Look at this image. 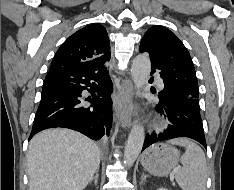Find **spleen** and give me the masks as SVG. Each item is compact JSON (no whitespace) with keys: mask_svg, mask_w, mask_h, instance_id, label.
I'll return each mask as SVG.
<instances>
[{"mask_svg":"<svg viewBox=\"0 0 234 190\" xmlns=\"http://www.w3.org/2000/svg\"><path fill=\"white\" fill-rule=\"evenodd\" d=\"M185 147L181 157L182 167L175 171V179L182 190H206L207 164L200 146L185 138L168 141Z\"/></svg>","mask_w":234,"mask_h":190,"instance_id":"1","label":"spleen"}]
</instances>
